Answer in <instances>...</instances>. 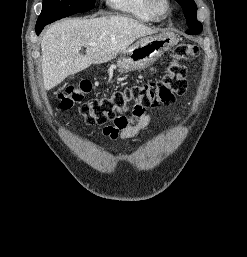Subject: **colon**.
<instances>
[{"mask_svg": "<svg viewBox=\"0 0 247 257\" xmlns=\"http://www.w3.org/2000/svg\"><path fill=\"white\" fill-rule=\"evenodd\" d=\"M199 48L190 43L177 45L167 63L161 79L146 83H137L129 87L115 90L108 95L94 98L79 108L80 115L89 125H104L114 122L124 126L127 124L125 114L130 108L146 109L173 100L187 89L185 62L194 60ZM91 83L87 80L67 87L58 95L62 109L67 110L83 101L91 91Z\"/></svg>", "mask_w": 247, "mask_h": 257, "instance_id": "colon-1", "label": "colon"}]
</instances>
